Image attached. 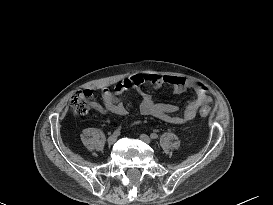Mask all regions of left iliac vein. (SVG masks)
I'll return each instance as SVG.
<instances>
[{
    "instance_id": "left-iliac-vein-1",
    "label": "left iliac vein",
    "mask_w": 273,
    "mask_h": 205,
    "mask_svg": "<svg viewBox=\"0 0 273 205\" xmlns=\"http://www.w3.org/2000/svg\"><path fill=\"white\" fill-rule=\"evenodd\" d=\"M140 139H141L143 142L147 143V144H150V143H151L150 137H149L148 135H146V134H141V135H140Z\"/></svg>"
}]
</instances>
